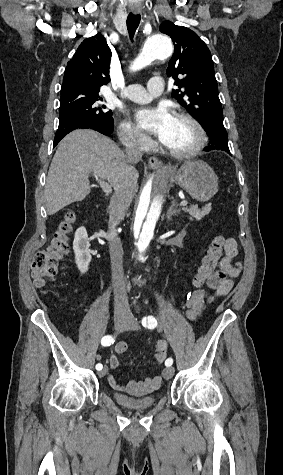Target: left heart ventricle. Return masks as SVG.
Returning a JSON list of instances; mask_svg holds the SVG:
<instances>
[{
  "instance_id": "left-heart-ventricle-1",
  "label": "left heart ventricle",
  "mask_w": 283,
  "mask_h": 475,
  "mask_svg": "<svg viewBox=\"0 0 283 475\" xmlns=\"http://www.w3.org/2000/svg\"><path fill=\"white\" fill-rule=\"evenodd\" d=\"M169 133V137L162 142L169 150L174 152L189 150L197 139L195 128L189 122L177 116L174 117Z\"/></svg>"
}]
</instances>
